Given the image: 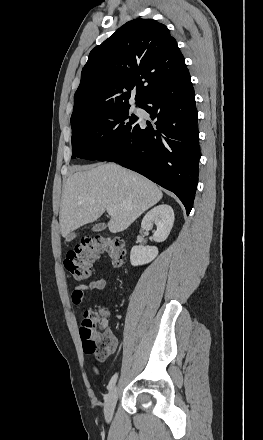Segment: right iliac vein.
Instances as JSON below:
<instances>
[{"label": "right iliac vein", "mask_w": 263, "mask_h": 440, "mask_svg": "<svg viewBox=\"0 0 263 440\" xmlns=\"http://www.w3.org/2000/svg\"><path fill=\"white\" fill-rule=\"evenodd\" d=\"M117 397L118 387L114 386L109 392L104 405V415L107 422L112 420Z\"/></svg>", "instance_id": "obj_1"}]
</instances>
